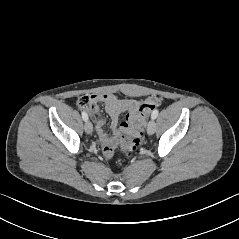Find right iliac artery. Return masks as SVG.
<instances>
[{"label": "right iliac artery", "mask_w": 239, "mask_h": 239, "mask_svg": "<svg viewBox=\"0 0 239 239\" xmlns=\"http://www.w3.org/2000/svg\"><path fill=\"white\" fill-rule=\"evenodd\" d=\"M82 118L84 121H87L88 120V115L86 112H82Z\"/></svg>", "instance_id": "82829eb1"}]
</instances>
